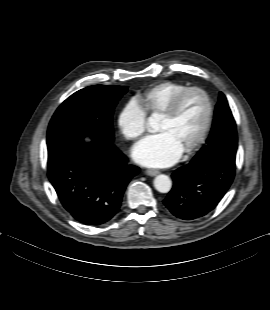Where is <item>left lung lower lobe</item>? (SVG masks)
Instances as JSON below:
<instances>
[{
	"mask_svg": "<svg viewBox=\"0 0 270 310\" xmlns=\"http://www.w3.org/2000/svg\"><path fill=\"white\" fill-rule=\"evenodd\" d=\"M234 176L235 165L193 159L172 174L173 187L163 202L180 219L200 218L218 205Z\"/></svg>",
	"mask_w": 270,
	"mask_h": 310,
	"instance_id": "left-lung-lower-lobe-1",
	"label": "left lung lower lobe"
}]
</instances>
